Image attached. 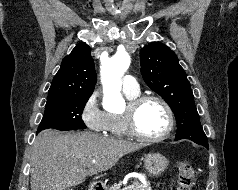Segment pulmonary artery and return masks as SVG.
I'll return each mask as SVG.
<instances>
[{
	"label": "pulmonary artery",
	"mask_w": 238,
	"mask_h": 190,
	"mask_svg": "<svg viewBox=\"0 0 238 190\" xmlns=\"http://www.w3.org/2000/svg\"><path fill=\"white\" fill-rule=\"evenodd\" d=\"M122 88L124 92L128 93H138L139 92V84L137 80L131 76L126 75L122 79Z\"/></svg>",
	"instance_id": "e3ab8cb5"
}]
</instances>
